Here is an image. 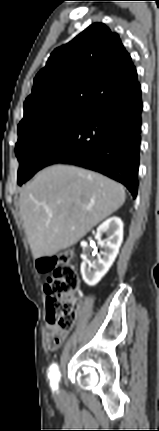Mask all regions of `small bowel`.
<instances>
[{"mask_svg": "<svg viewBox=\"0 0 159 431\" xmlns=\"http://www.w3.org/2000/svg\"><path fill=\"white\" fill-rule=\"evenodd\" d=\"M68 332L56 324L48 323L45 326V341L50 351L57 350L65 341Z\"/></svg>", "mask_w": 159, "mask_h": 431, "instance_id": "obj_1", "label": "small bowel"}]
</instances>
